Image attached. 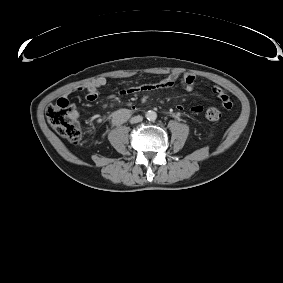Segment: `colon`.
Returning a JSON list of instances; mask_svg holds the SVG:
<instances>
[{"instance_id":"colon-1","label":"colon","mask_w":283,"mask_h":283,"mask_svg":"<svg viewBox=\"0 0 283 283\" xmlns=\"http://www.w3.org/2000/svg\"><path fill=\"white\" fill-rule=\"evenodd\" d=\"M75 106L67 98H59L55 104L49 106L46 112L47 120L54 130L72 144H78L82 131L74 115ZM205 118L210 122H217L222 118V112L216 107H209L205 111Z\"/></svg>"}]
</instances>
